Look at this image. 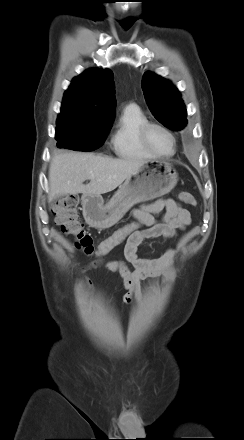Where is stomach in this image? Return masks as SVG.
I'll return each mask as SVG.
<instances>
[{"mask_svg": "<svg viewBox=\"0 0 244 440\" xmlns=\"http://www.w3.org/2000/svg\"><path fill=\"white\" fill-rule=\"evenodd\" d=\"M178 174L167 161H147L131 174L110 201L98 195L82 196L86 222L99 229L116 224L135 204L169 193L177 184Z\"/></svg>", "mask_w": 244, "mask_h": 440, "instance_id": "obj_1", "label": "stomach"}]
</instances>
